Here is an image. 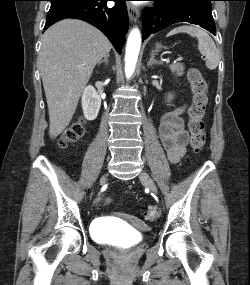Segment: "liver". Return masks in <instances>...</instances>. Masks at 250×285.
Listing matches in <instances>:
<instances>
[{
  "label": "liver",
  "mask_w": 250,
  "mask_h": 285,
  "mask_svg": "<svg viewBox=\"0 0 250 285\" xmlns=\"http://www.w3.org/2000/svg\"><path fill=\"white\" fill-rule=\"evenodd\" d=\"M112 48L93 26L66 19L42 36L39 70L49 111V136L55 138L69 125L93 69Z\"/></svg>",
  "instance_id": "6515ba94"
}]
</instances>
